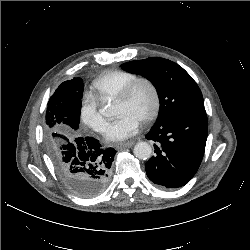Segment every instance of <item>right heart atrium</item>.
Wrapping results in <instances>:
<instances>
[{
	"label": "right heart atrium",
	"mask_w": 250,
	"mask_h": 250,
	"mask_svg": "<svg viewBox=\"0 0 250 250\" xmlns=\"http://www.w3.org/2000/svg\"><path fill=\"white\" fill-rule=\"evenodd\" d=\"M80 120L84 126L98 133L103 132L106 127V121L98 109V102L90 94L85 95L82 100Z\"/></svg>",
	"instance_id": "right-heart-atrium-1"
}]
</instances>
